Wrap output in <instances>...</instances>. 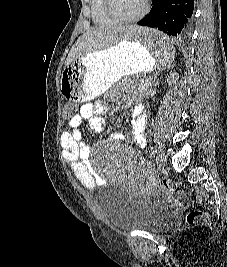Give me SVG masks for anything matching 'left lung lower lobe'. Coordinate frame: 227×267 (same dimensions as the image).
<instances>
[{"label":"left lung lower lobe","mask_w":227,"mask_h":267,"mask_svg":"<svg viewBox=\"0 0 227 267\" xmlns=\"http://www.w3.org/2000/svg\"><path fill=\"white\" fill-rule=\"evenodd\" d=\"M193 9L194 0H153L151 11L137 24L163 31L165 39L160 42L172 44L168 36L184 39L188 35Z\"/></svg>","instance_id":"obj_1"}]
</instances>
